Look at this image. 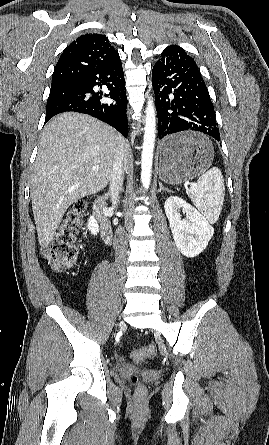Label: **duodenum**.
<instances>
[{"label":"duodenum","instance_id":"410a0bca","mask_svg":"<svg viewBox=\"0 0 269 445\" xmlns=\"http://www.w3.org/2000/svg\"><path fill=\"white\" fill-rule=\"evenodd\" d=\"M105 208V198L103 196H99L93 206L95 217L100 226V232L103 240L106 243H111L113 238V230L110 221L104 214Z\"/></svg>","mask_w":269,"mask_h":445}]
</instances>
